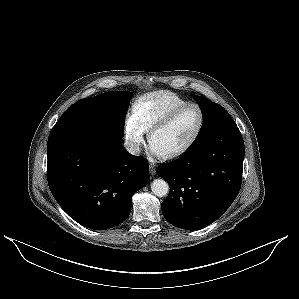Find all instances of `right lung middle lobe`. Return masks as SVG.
I'll list each match as a JSON object with an SVG mask.
<instances>
[{
	"label": "right lung middle lobe",
	"instance_id": "1",
	"mask_svg": "<svg viewBox=\"0 0 299 299\" xmlns=\"http://www.w3.org/2000/svg\"><path fill=\"white\" fill-rule=\"evenodd\" d=\"M132 92L110 91L84 98L70 106L58 123L96 127L116 136H124V123Z\"/></svg>",
	"mask_w": 299,
	"mask_h": 299
}]
</instances>
